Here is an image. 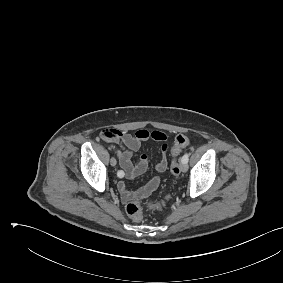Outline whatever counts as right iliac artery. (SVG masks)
<instances>
[{"label":"right iliac artery","mask_w":283,"mask_h":283,"mask_svg":"<svg viewBox=\"0 0 283 283\" xmlns=\"http://www.w3.org/2000/svg\"><path fill=\"white\" fill-rule=\"evenodd\" d=\"M121 174H122V171L117 172L118 177H120Z\"/></svg>","instance_id":"1"}]
</instances>
